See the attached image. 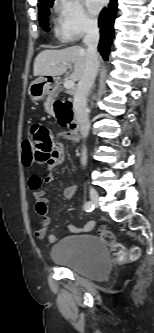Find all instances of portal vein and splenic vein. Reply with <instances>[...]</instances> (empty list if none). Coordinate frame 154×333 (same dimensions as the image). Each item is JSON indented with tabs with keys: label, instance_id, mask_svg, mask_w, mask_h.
<instances>
[{
	"label": "portal vein and splenic vein",
	"instance_id": "18ae733b",
	"mask_svg": "<svg viewBox=\"0 0 154 333\" xmlns=\"http://www.w3.org/2000/svg\"><path fill=\"white\" fill-rule=\"evenodd\" d=\"M52 65H54V64H52ZM64 65L70 67V64L64 63ZM74 86H75V83H74L73 80H66V81L64 82V87H65L66 89H72Z\"/></svg>",
	"mask_w": 154,
	"mask_h": 333
}]
</instances>
